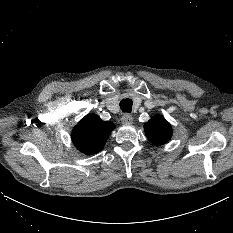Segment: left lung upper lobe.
Listing matches in <instances>:
<instances>
[{"instance_id": "obj_1", "label": "left lung upper lobe", "mask_w": 233, "mask_h": 233, "mask_svg": "<svg viewBox=\"0 0 233 233\" xmlns=\"http://www.w3.org/2000/svg\"><path fill=\"white\" fill-rule=\"evenodd\" d=\"M148 139L156 145L165 144L172 136L170 124L161 116H153L144 125Z\"/></svg>"}]
</instances>
